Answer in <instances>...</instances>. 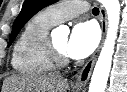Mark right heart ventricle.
Instances as JSON below:
<instances>
[{"label": "right heart ventricle", "mask_w": 127, "mask_h": 92, "mask_svg": "<svg viewBox=\"0 0 127 92\" xmlns=\"http://www.w3.org/2000/svg\"><path fill=\"white\" fill-rule=\"evenodd\" d=\"M58 24L46 11L33 16L22 29L12 51V67L20 74L43 75L55 70L47 53L49 30Z\"/></svg>", "instance_id": "e07e8e85"}]
</instances>
